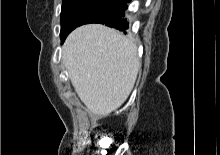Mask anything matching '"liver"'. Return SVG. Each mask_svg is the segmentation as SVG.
<instances>
[{
    "instance_id": "1",
    "label": "liver",
    "mask_w": 220,
    "mask_h": 155,
    "mask_svg": "<svg viewBox=\"0 0 220 155\" xmlns=\"http://www.w3.org/2000/svg\"><path fill=\"white\" fill-rule=\"evenodd\" d=\"M62 61L76 93L95 116L109 115L126 101L141 66L135 44L100 24L71 32Z\"/></svg>"
}]
</instances>
